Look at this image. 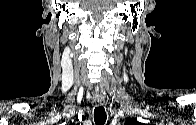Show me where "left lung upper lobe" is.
<instances>
[{"label":"left lung upper lobe","mask_w":196,"mask_h":125,"mask_svg":"<svg viewBox=\"0 0 196 125\" xmlns=\"http://www.w3.org/2000/svg\"><path fill=\"white\" fill-rule=\"evenodd\" d=\"M136 123H139V122L135 119H129L125 122V124H127V125H134Z\"/></svg>","instance_id":"left-lung-upper-lobe-1"}]
</instances>
